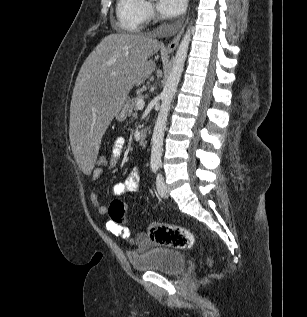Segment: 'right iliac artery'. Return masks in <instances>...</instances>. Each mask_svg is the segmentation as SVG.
<instances>
[{
	"instance_id": "right-iliac-artery-1",
	"label": "right iliac artery",
	"mask_w": 307,
	"mask_h": 317,
	"mask_svg": "<svg viewBox=\"0 0 307 317\" xmlns=\"http://www.w3.org/2000/svg\"><path fill=\"white\" fill-rule=\"evenodd\" d=\"M157 168H153V171L155 172Z\"/></svg>"
}]
</instances>
